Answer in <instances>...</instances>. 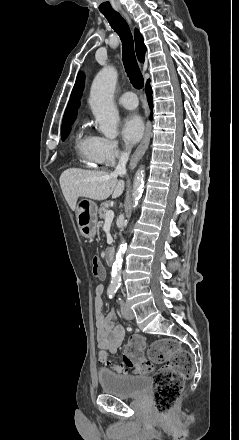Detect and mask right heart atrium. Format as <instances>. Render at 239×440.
I'll list each match as a JSON object with an SVG mask.
<instances>
[{
  "mask_svg": "<svg viewBox=\"0 0 239 440\" xmlns=\"http://www.w3.org/2000/svg\"><path fill=\"white\" fill-rule=\"evenodd\" d=\"M93 150L104 166L113 165L121 153L116 141L101 136H93Z\"/></svg>",
  "mask_w": 239,
  "mask_h": 440,
  "instance_id": "right-heart-atrium-1",
  "label": "right heart atrium"
}]
</instances>
